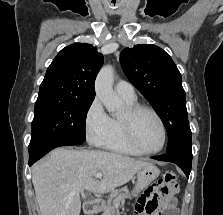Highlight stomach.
<instances>
[{
    "mask_svg": "<svg viewBox=\"0 0 223 215\" xmlns=\"http://www.w3.org/2000/svg\"><path fill=\"white\" fill-rule=\"evenodd\" d=\"M160 171L154 163H148V165H144V167H141L139 171H137V183H139L141 186L139 187V191L141 189H144V187H147L151 181H154L156 177H158ZM136 187V186H135Z\"/></svg>",
    "mask_w": 223,
    "mask_h": 215,
    "instance_id": "obj_1",
    "label": "stomach"
}]
</instances>
